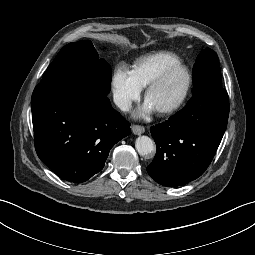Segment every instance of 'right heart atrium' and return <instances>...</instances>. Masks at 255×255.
<instances>
[{
  "mask_svg": "<svg viewBox=\"0 0 255 255\" xmlns=\"http://www.w3.org/2000/svg\"><path fill=\"white\" fill-rule=\"evenodd\" d=\"M112 90L116 104L122 110H127L140 97L142 87L136 80L133 71L121 64L114 70Z\"/></svg>",
  "mask_w": 255,
  "mask_h": 255,
  "instance_id": "right-heart-atrium-1",
  "label": "right heart atrium"
}]
</instances>
